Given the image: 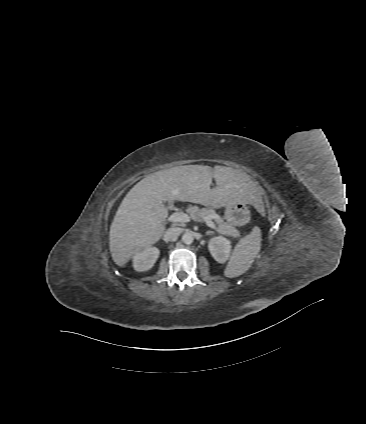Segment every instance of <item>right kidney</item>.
Listing matches in <instances>:
<instances>
[{"mask_svg": "<svg viewBox=\"0 0 366 424\" xmlns=\"http://www.w3.org/2000/svg\"><path fill=\"white\" fill-rule=\"evenodd\" d=\"M159 249L148 247L133 257V267L136 271H147L153 267L159 257Z\"/></svg>", "mask_w": 366, "mask_h": 424, "instance_id": "right-kidney-1", "label": "right kidney"}]
</instances>
